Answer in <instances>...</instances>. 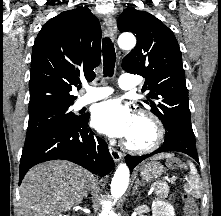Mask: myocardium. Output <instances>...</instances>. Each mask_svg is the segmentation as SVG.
Listing matches in <instances>:
<instances>
[{"label": "myocardium", "mask_w": 221, "mask_h": 216, "mask_svg": "<svg viewBox=\"0 0 221 216\" xmlns=\"http://www.w3.org/2000/svg\"><path fill=\"white\" fill-rule=\"evenodd\" d=\"M135 119H142L151 125L153 129L152 140L147 144L137 145L126 139L123 142L124 148L132 153H146L156 149L164 138L165 130L162 121L154 113L146 109L138 110L135 114Z\"/></svg>", "instance_id": "obj_1"}]
</instances>
